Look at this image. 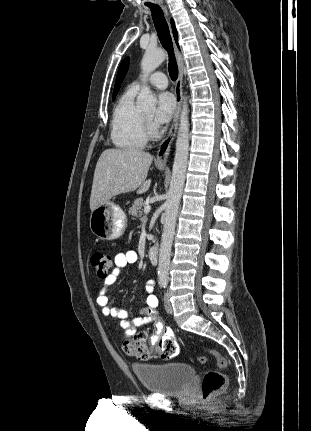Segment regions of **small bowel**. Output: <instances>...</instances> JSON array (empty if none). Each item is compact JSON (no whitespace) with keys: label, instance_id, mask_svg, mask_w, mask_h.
<instances>
[{"label":"small bowel","instance_id":"c3829d8e","mask_svg":"<svg viewBox=\"0 0 311 431\" xmlns=\"http://www.w3.org/2000/svg\"><path fill=\"white\" fill-rule=\"evenodd\" d=\"M138 254L134 250L118 253L115 256V268L106 277L101 289L97 294V304L101 307V312L105 316H110L119 321L120 327L124 330L125 336H131L135 333L137 327L143 326L150 322H154L155 333L150 337L151 340H158L162 334L165 336H173L170 329H165L164 324L158 312V298L154 294L155 282L149 280L146 282L145 290L147 293L146 307L140 310V315L134 318H129V312L118 308L111 307L109 303V288L117 280L123 268L136 263ZM148 337L146 333H141Z\"/></svg>","mask_w":311,"mask_h":431}]
</instances>
